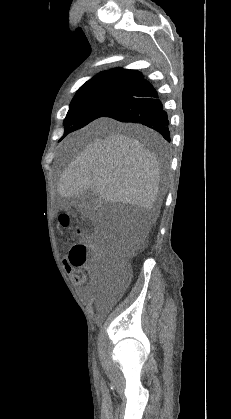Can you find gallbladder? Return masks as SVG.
<instances>
[{"label": "gallbladder", "mask_w": 231, "mask_h": 419, "mask_svg": "<svg viewBox=\"0 0 231 419\" xmlns=\"http://www.w3.org/2000/svg\"><path fill=\"white\" fill-rule=\"evenodd\" d=\"M75 202L81 203L83 205L84 212L89 214L97 209L100 198L94 190H89L84 193L81 198H77Z\"/></svg>", "instance_id": "bac80fb5"}]
</instances>
